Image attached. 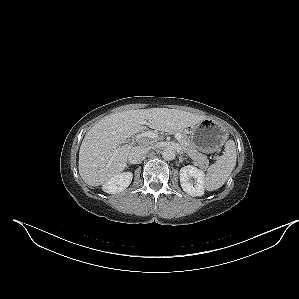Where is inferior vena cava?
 Instances as JSON below:
<instances>
[{
  "mask_svg": "<svg viewBox=\"0 0 299 299\" xmlns=\"http://www.w3.org/2000/svg\"><path fill=\"white\" fill-rule=\"evenodd\" d=\"M151 149V147H146V146H136L133 147L128 155V161L131 164H139L144 155Z\"/></svg>",
  "mask_w": 299,
  "mask_h": 299,
  "instance_id": "602c4592",
  "label": "inferior vena cava"
}]
</instances>
